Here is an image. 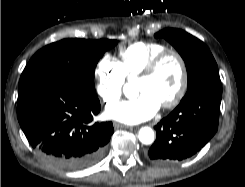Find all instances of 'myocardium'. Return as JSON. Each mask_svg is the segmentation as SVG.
I'll return each mask as SVG.
<instances>
[{"mask_svg": "<svg viewBox=\"0 0 245 187\" xmlns=\"http://www.w3.org/2000/svg\"><path fill=\"white\" fill-rule=\"evenodd\" d=\"M173 56L179 63L181 70L180 84L175 94L161 105L163 109H169L176 106L185 96L188 88V67L183 56L176 50L166 49L153 56L137 75L138 78H147L153 75L159 64L167 57Z\"/></svg>", "mask_w": 245, "mask_h": 187, "instance_id": "myocardium-1", "label": "myocardium"}]
</instances>
